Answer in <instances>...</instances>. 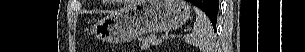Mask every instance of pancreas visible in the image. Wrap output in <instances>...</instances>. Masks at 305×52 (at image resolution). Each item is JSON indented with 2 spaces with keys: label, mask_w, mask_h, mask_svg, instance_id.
I'll return each mask as SVG.
<instances>
[{
  "label": "pancreas",
  "mask_w": 305,
  "mask_h": 52,
  "mask_svg": "<svg viewBox=\"0 0 305 52\" xmlns=\"http://www.w3.org/2000/svg\"><path fill=\"white\" fill-rule=\"evenodd\" d=\"M139 41L142 49H147L150 47V45H158L161 42L160 39L154 34L141 37Z\"/></svg>",
  "instance_id": "pancreas-1"
}]
</instances>
